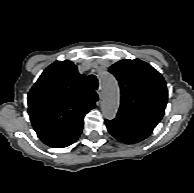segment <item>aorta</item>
I'll return each instance as SVG.
<instances>
[{"mask_svg": "<svg viewBox=\"0 0 194 193\" xmlns=\"http://www.w3.org/2000/svg\"><path fill=\"white\" fill-rule=\"evenodd\" d=\"M103 96L101 102V111L105 118H115L119 107V86L115 77L109 72L100 74Z\"/></svg>", "mask_w": 194, "mask_h": 193, "instance_id": "762f6f07", "label": "aorta"}]
</instances>
